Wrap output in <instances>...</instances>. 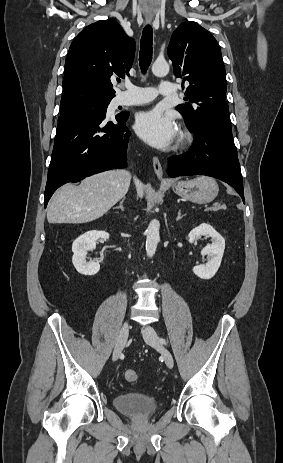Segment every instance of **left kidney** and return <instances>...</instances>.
Masks as SVG:
<instances>
[{"label": "left kidney", "mask_w": 283, "mask_h": 463, "mask_svg": "<svg viewBox=\"0 0 283 463\" xmlns=\"http://www.w3.org/2000/svg\"><path fill=\"white\" fill-rule=\"evenodd\" d=\"M200 236L212 238V244L207 245L201 251V255H207L208 262L193 268V272L201 279H211L218 271L225 249V239L210 225L202 223L190 231L189 242L193 243Z\"/></svg>", "instance_id": "5707ae66"}]
</instances>
